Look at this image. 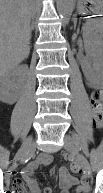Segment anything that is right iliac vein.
Here are the masks:
<instances>
[{
  "instance_id": "right-iliac-vein-1",
  "label": "right iliac vein",
  "mask_w": 103,
  "mask_h": 193,
  "mask_svg": "<svg viewBox=\"0 0 103 193\" xmlns=\"http://www.w3.org/2000/svg\"><path fill=\"white\" fill-rule=\"evenodd\" d=\"M33 146V139L32 137L26 139L24 143L22 144L21 148L17 152L13 164V168H16L19 164V162L25 157V155L28 153L29 149Z\"/></svg>"
}]
</instances>
